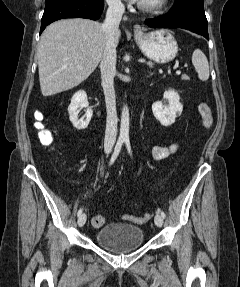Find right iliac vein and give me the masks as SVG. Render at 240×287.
Segmentation results:
<instances>
[{
  "label": "right iliac vein",
  "mask_w": 240,
  "mask_h": 287,
  "mask_svg": "<svg viewBox=\"0 0 240 287\" xmlns=\"http://www.w3.org/2000/svg\"><path fill=\"white\" fill-rule=\"evenodd\" d=\"M109 152L110 151L108 150L107 153H109ZM85 222H86V214H81L78 218V226L83 227Z\"/></svg>",
  "instance_id": "1"
}]
</instances>
